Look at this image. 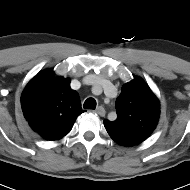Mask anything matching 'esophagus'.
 <instances>
[{
  "label": "esophagus",
  "instance_id": "obj_1",
  "mask_svg": "<svg viewBox=\"0 0 190 190\" xmlns=\"http://www.w3.org/2000/svg\"><path fill=\"white\" fill-rule=\"evenodd\" d=\"M93 112L100 116H105L106 114V111L102 106H98L95 110H93Z\"/></svg>",
  "mask_w": 190,
  "mask_h": 190
}]
</instances>
